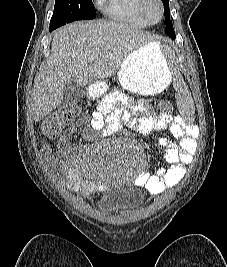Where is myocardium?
Returning a JSON list of instances; mask_svg holds the SVG:
<instances>
[{"label":"myocardium","mask_w":227,"mask_h":267,"mask_svg":"<svg viewBox=\"0 0 227 267\" xmlns=\"http://www.w3.org/2000/svg\"><path fill=\"white\" fill-rule=\"evenodd\" d=\"M151 1L155 2L158 5L159 16L156 20H152L148 13V5ZM139 11L149 24L158 23L164 17V5L162 0H139Z\"/></svg>","instance_id":"myocardium-1"}]
</instances>
